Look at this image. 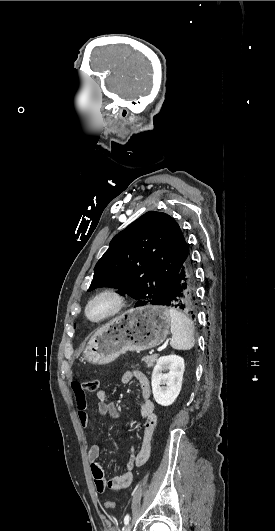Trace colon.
Returning a JSON list of instances; mask_svg holds the SVG:
<instances>
[{
    "instance_id": "5ec220e1",
    "label": "colon",
    "mask_w": 275,
    "mask_h": 531,
    "mask_svg": "<svg viewBox=\"0 0 275 531\" xmlns=\"http://www.w3.org/2000/svg\"><path fill=\"white\" fill-rule=\"evenodd\" d=\"M99 379L93 378L85 381V392L89 393H95L99 389ZM105 506L107 510H115L116 508V502L114 500H107L105 502Z\"/></svg>"
}]
</instances>
